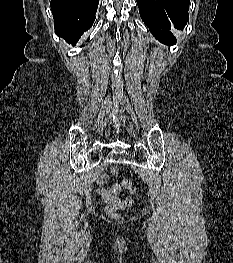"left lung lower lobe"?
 <instances>
[{
  "mask_svg": "<svg viewBox=\"0 0 233 263\" xmlns=\"http://www.w3.org/2000/svg\"><path fill=\"white\" fill-rule=\"evenodd\" d=\"M140 16L153 36L163 44L174 45L170 30H182L189 21L190 0H136Z\"/></svg>",
  "mask_w": 233,
  "mask_h": 263,
  "instance_id": "0a47b994",
  "label": "left lung lower lobe"
}]
</instances>
